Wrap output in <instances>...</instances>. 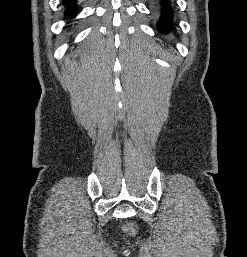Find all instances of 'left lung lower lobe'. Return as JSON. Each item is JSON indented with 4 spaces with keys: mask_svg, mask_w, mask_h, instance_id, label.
Returning a JSON list of instances; mask_svg holds the SVG:
<instances>
[{
    "mask_svg": "<svg viewBox=\"0 0 247 257\" xmlns=\"http://www.w3.org/2000/svg\"><path fill=\"white\" fill-rule=\"evenodd\" d=\"M172 26V15L170 11V3L168 0L162 1L161 21L159 22V29L167 33Z\"/></svg>",
    "mask_w": 247,
    "mask_h": 257,
    "instance_id": "0a47b994",
    "label": "left lung lower lobe"
}]
</instances>
